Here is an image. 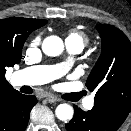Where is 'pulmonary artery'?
I'll use <instances>...</instances> for the list:
<instances>
[{"mask_svg":"<svg viewBox=\"0 0 131 131\" xmlns=\"http://www.w3.org/2000/svg\"><path fill=\"white\" fill-rule=\"evenodd\" d=\"M66 46L69 52L73 54H78L83 49V46L80 44L71 42H66ZM68 67V64L29 67L16 72L14 79L18 85H41L61 76L66 72ZM83 105L85 108L91 109L94 106L93 97L88 98Z\"/></svg>","mask_w":131,"mask_h":131,"instance_id":"e3ab8cb5","label":"pulmonary artery"}]
</instances>
